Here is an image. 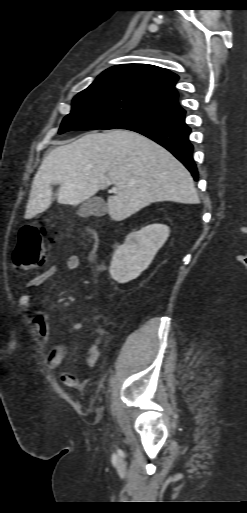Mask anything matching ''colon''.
<instances>
[{
    "instance_id": "obj_1",
    "label": "colon",
    "mask_w": 247,
    "mask_h": 513,
    "mask_svg": "<svg viewBox=\"0 0 247 513\" xmlns=\"http://www.w3.org/2000/svg\"><path fill=\"white\" fill-rule=\"evenodd\" d=\"M49 234L47 228L32 224L25 225L20 229L12 255L16 271H27L39 267L45 262L47 250L44 239Z\"/></svg>"
}]
</instances>
